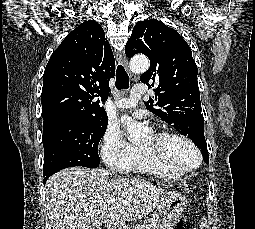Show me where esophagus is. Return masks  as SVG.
<instances>
[{
  "instance_id": "1",
  "label": "esophagus",
  "mask_w": 255,
  "mask_h": 229,
  "mask_svg": "<svg viewBox=\"0 0 255 229\" xmlns=\"http://www.w3.org/2000/svg\"><path fill=\"white\" fill-rule=\"evenodd\" d=\"M115 56H116V60L118 61V63L123 65L125 67V69L129 72V70H128V59L125 55V52L123 50L117 51ZM129 74H130V77L133 76L131 73H129Z\"/></svg>"
}]
</instances>
